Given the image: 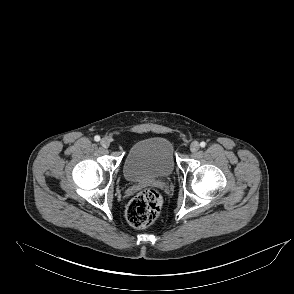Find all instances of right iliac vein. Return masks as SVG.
Listing matches in <instances>:
<instances>
[{
	"instance_id": "1",
	"label": "right iliac vein",
	"mask_w": 294,
	"mask_h": 294,
	"mask_svg": "<svg viewBox=\"0 0 294 294\" xmlns=\"http://www.w3.org/2000/svg\"><path fill=\"white\" fill-rule=\"evenodd\" d=\"M100 144L103 148H108L110 145V141L107 138H103L101 139Z\"/></svg>"
}]
</instances>
